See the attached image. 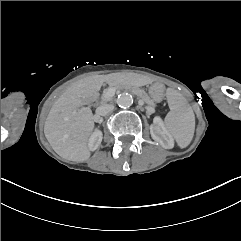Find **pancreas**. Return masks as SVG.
Returning <instances> with one entry per match:
<instances>
[{
    "label": "pancreas",
    "instance_id": "obj_1",
    "mask_svg": "<svg viewBox=\"0 0 241 241\" xmlns=\"http://www.w3.org/2000/svg\"><path fill=\"white\" fill-rule=\"evenodd\" d=\"M127 90L128 91H133L138 97H140L142 100H143V102L144 103H146L148 106V109L149 110H154L155 109V104L153 103L154 101H153V99L150 97V96H148V94L146 93V92H144L143 90H138L136 87H131V86H128L127 87ZM107 90L104 92V94H103V96H102V102L103 103H106V102H109V101H111L112 99H113V97H109V96H107Z\"/></svg>",
    "mask_w": 241,
    "mask_h": 241
}]
</instances>
